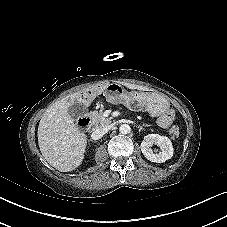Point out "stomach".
Returning <instances> with one entry per match:
<instances>
[{"label":"stomach","instance_id":"1","mask_svg":"<svg viewBox=\"0 0 227 227\" xmlns=\"http://www.w3.org/2000/svg\"><path fill=\"white\" fill-rule=\"evenodd\" d=\"M106 99L112 104L123 103L129 107L145 108L152 115L164 114L169 109V101L161 94L143 91H126L121 85H106Z\"/></svg>","mask_w":227,"mask_h":227}]
</instances>
